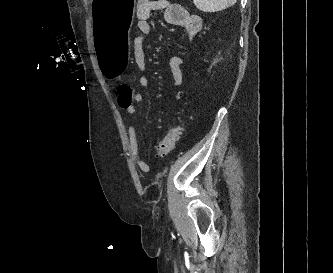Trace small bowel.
Masks as SVG:
<instances>
[{
  "mask_svg": "<svg viewBox=\"0 0 333 273\" xmlns=\"http://www.w3.org/2000/svg\"><path fill=\"white\" fill-rule=\"evenodd\" d=\"M162 11L166 23L176 27H183L186 30L190 41H194L201 30L202 22L199 16L190 13L184 6L170 0H138L136 4L137 28L140 32L133 41V57L137 69L144 72L147 68V61L144 51V36L153 32L154 28L150 22L151 15L154 12ZM185 61L179 56H173L169 59V68L176 86H181L184 82L183 66ZM150 80L147 76L139 78V86L143 89L148 88ZM143 101L142 93H133V109H123L131 118L136 116V107L134 103ZM129 146L133 161L137 167L146 171L148 165L143 159L137 138V129L134 122L128 125Z\"/></svg>",
  "mask_w": 333,
  "mask_h": 273,
  "instance_id": "1",
  "label": "small bowel"
}]
</instances>
